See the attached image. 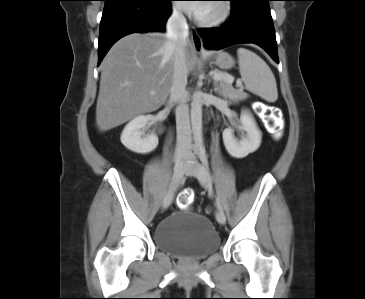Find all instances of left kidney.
Masks as SVG:
<instances>
[{
    "label": "left kidney",
    "mask_w": 365,
    "mask_h": 299,
    "mask_svg": "<svg viewBox=\"0 0 365 299\" xmlns=\"http://www.w3.org/2000/svg\"><path fill=\"white\" fill-rule=\"evenodd\" d=\"M240 123L239 129L246 132V135H243L240 140L235 138L233 129L227 128L223 131L225 148L235 158H244L248 154L255 152L259 148L262 138V133L249 112H242Z\"/></svg>",
    "instance_id": "5707ae66"
}]
</instances>
